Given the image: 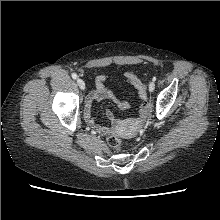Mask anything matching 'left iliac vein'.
Segmentation results:
<instances>
[{"instance_id": "1", "label": "left iliac vein", "mask_w": 220, "mask_h": 220, "mask_svg": "<svg viewBox=\"0 0 220 220\" xmlns=\"http://www.w3.org/2000/svg\"><path fill=\"white\" fill-rule=\"evenodd\" d=\"M154 89H155V83L154 82H150V84H149V91L153 92Z\"/></svg>"}]
</instances>
